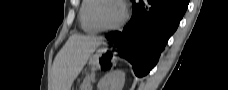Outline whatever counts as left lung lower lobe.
I'll use <instances>...</instances> for the list:
<instances>
[{"label":"left lung lower lobe","mask_w":228,"mask_h":90,"mask_svg":"<svg viewBox=\"0 0 228 90\" xmlns=\"http://www.w3.org/2000/svg\"><path fill=\"white\" fill-rule=\"evenodd\" d=\"M129 23L120 32L106 38L118 48L119 56L128 60L138 77H143L156 65L160 52L177 29L188 0H132ZM151 6L149 11L147 7Z\"/></svg>","instance_id":"1"}]
</instances>
